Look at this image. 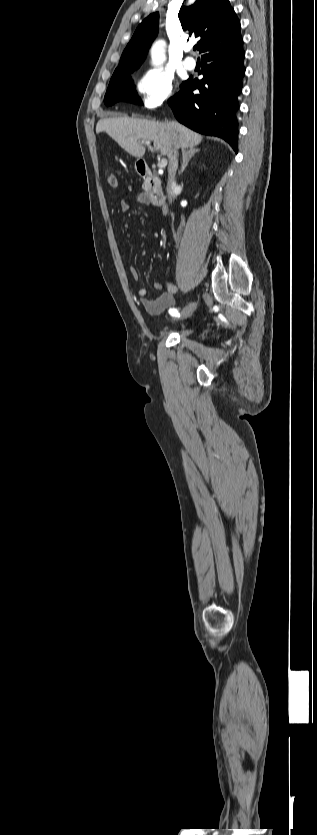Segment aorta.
I'll list each match as a JSON object with an SVG mask.
<instances>
[{
	"mask_svg": "<svg viewBox=\"0 0 317 835\" xmlns=\"http://www.w3.org/2000/svg\"><path fill=\"white\" fill-rule=\"evenodd\" d=\"M152 64L158 66L165 61V42L156 41L151 48Z\"/></svg>",
	"mask_w": 317,
	"mask_h": 835,
	"instance_id": "1",
	"label": "aorta"
}]
</instances>
